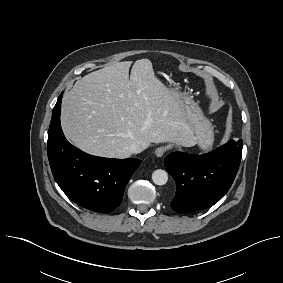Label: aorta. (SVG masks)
Instances as JSON below:
<instances>
[{
	"instance_id": "762f6f07",
	"label": "aorta",
	"mask_w": 283,
	"mask_h": 283,
	"mask_svg": "<svg viewBox=\"0 0 283 283\" xmlns=\"http://www.w3.org/2000/svg\"><path fill=\"white\" fill-rule=\"evenodd\" d=\"M152 180L156 185H165L168 181V174L162 169H157L152 174Z\"/></svg>"
}]
</instances>
